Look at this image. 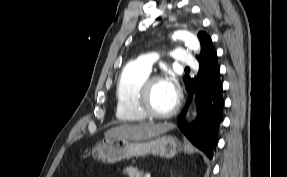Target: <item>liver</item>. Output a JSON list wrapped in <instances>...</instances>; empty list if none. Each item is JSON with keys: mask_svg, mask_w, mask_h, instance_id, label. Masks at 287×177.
<instances>
[{"mask_svg": "<svg viewBox=\"0 0 287 177\" xmlns=\"http://www.w3.org/2000/svg\"><path fill=\"white\" fill-rule=\"evenodd\" d=\"M173 128V124L166 122L163 124H125L109 129L105 132V137L141 141L159 136Z\"/></svg>", "mask_w": 287, "mask_h": 177, "instance_id": "liver-1", "label": "liver"}]
</instances>
